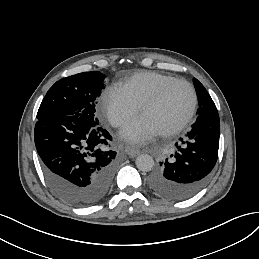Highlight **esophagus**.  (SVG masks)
Wrapping results in <instances>:
<instances>
[{
	"mask_svg": "<svg viewBox=\"0 0 259 259\" xmlns=\"http://www.w3.org/2000/svg\"><path fill=\"white\" fill-rule=\"evenodd\" d=\"M126 153L131 155V156H136L140 153V150L136 149L134 147H131V146H127L126 147Z\"/></svg>",
	"mask_w": 259,
	"mask_h": 259,
	"instance_id": "obj_1",
	"label": "esophagus"
}]
</instances>
